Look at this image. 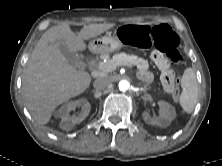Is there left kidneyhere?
<instances>
[{"label":"left kidney","mask_w":222,"mask_h":166,"mask_svg":"<svg viewBox=\"0 0 222 166\" xmlns=\"http://www.w3.org/2000/svg\"><path fill=\"white\" fill-rule=\"evenodd\" d=\"M160 115L157 118H152L148 112H143L142 116L146 123L166 127L176 117L175 108L165 101H159Z\"/></svg>","instance_id":"obj_1"}]
</instances>
